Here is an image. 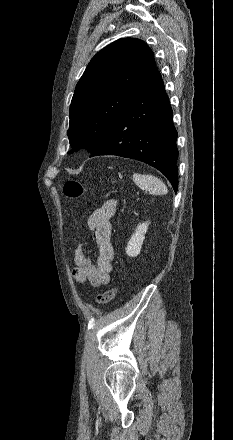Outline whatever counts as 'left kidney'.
Masks as SVG:
<instances>
[{"instance_id":"5707ae66","label":"left kidney","mask_w":233,"mask_h":440,"mask_svg":"<svg viewBox=\"0 0 233 440\" xmlns=\"http://www.w3.org/2000/svg\"><path fill=\"white\" fill-rule=\"evenodd\" d=\"M148 225V222H144L136 227L135 233L131 236L126 247V254L128 256L137 257L140 254Z\"/></svg>"}]
</instances>
